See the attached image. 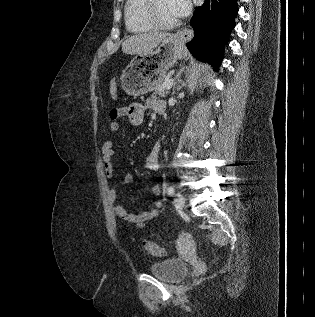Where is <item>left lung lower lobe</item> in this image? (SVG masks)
I'll list each match as a JSON object with an SVG mask.
<instances>
[{
    "label": "left lung lower lobe",
    "instance_id": "1",
    "mask_svg": "<svg viewBox=\"0 0 315 317\" xmlns=\"http://www.w3.org/2000/svg\"><path fill=\"white\" fill-rule=\"evenodd\" d=\"M237 12V0H205L191 18L195 35L187 47L198 60L209 62L216 71L223 58L224 45L235 27Z\"/></svg>",
    "mask_w": 315,
    "mask_h": 317
}]
</instances>
